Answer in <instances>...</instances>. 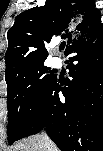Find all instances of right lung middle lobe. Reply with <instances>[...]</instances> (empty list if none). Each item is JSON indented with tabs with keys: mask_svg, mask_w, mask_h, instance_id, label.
I'll return each mask as SVG.
<instances>
[{
	"mask_svg": "<svg viewBox=\"0 0 103 151\" xmlns=\"http://www.w3.org/2000/svg\"><path fill=\"white\" fill-rule=\"evenodd\" d=\"M55 77L43 62L25 68L7 82V132L10 145L24 133Z\"/></svg>",
	"mask_w": 103,
	"mask_h": 151,
	"instance_id": "dd1d6c3e",
	"label": "right lung middle lobe"
}]
</instances>
